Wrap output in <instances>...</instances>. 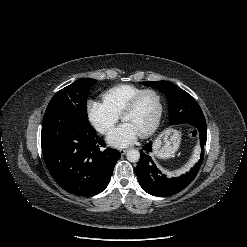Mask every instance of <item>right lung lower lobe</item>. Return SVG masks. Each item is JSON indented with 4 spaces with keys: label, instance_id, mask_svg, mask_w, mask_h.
Returning a JSON list of instances; mask_svg holds the SVG:
<instances>
[{
    "label": "right lung lower lobe",
    "instance_id": "98d812e1",
    "mask_svg": "<svg viewBox=\"0 0 247 247\" xmlns=\"http://www.w3.org/2000/svg\"><path fill=\"white\" fill-rule=\"evenodd\" d=\"M42 154L53 179L67 192L94 196L108 185L121 154L105 147L94 128L77 114L46 112L41 131Z\"/></svg>",
    "mask_w": 247,
    "mask_h": 247
}]
</instances>
